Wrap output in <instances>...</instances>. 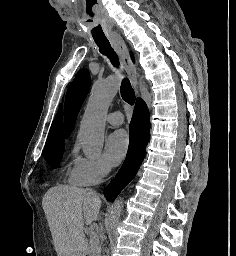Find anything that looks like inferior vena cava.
<instances>
[{
	"label": "inferior vena cava",
	"instance_id": "obj_1",
	"mask_svg": "<svg viewBox=\"0 0 236 256\" xmlns=\"http://www.w3.org/2000/svg\"><path fill=\"white\" fill-rule=\"evenodd\" d=\"M88 190V194H92V196H94V198H97L95 192H93V190H91V188H87Z\"/></svg>",
	"mask_w": 236,
	"mask_h": 256
}]
</instances>
